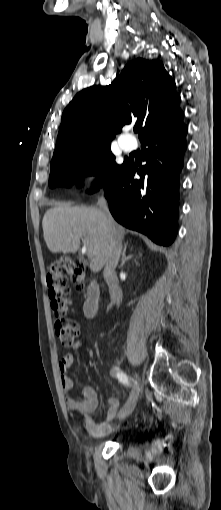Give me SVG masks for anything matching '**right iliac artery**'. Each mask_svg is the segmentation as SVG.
I'll return each instance as SVG.
<instances>
[{
  "label": "right iliac artery",
  "mask_w": 221,
  "mask_h": 510,
  "mask_svg": "<svg viewBox=\"0 0 221 510\" xmlns=\"http://www.w3.org/2000/svg\"><path fill=\"white\" fill-rule=\"evenodd\" d=\"M118 380L120 382H122L123 384L129 386L130 385V381H129V378L127 377V375L125 373H123L122 371H118L117 374H116Z\"/></svg>",
  "instance_id": "1"
}]
</instances>
